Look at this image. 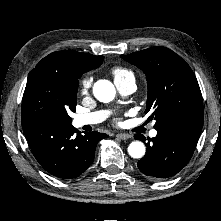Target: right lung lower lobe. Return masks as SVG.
Wrapping results in <instances>:
<instances>
[{
	"mask_svg": "<svg viewBox=\"0 0 221 221\" xmlns=\"http://www.w3.org/2000/svg\"><path fill=\"white\" fill-rule=\"evenodd\" d=\"M22 128L40 165L50 174L72 179L81 175L93 162L97 143L104 133L81 135L72 125L47 120H25Z\"/></svg>",
	"mask_w": 221,
	"mask_h": 221,
	"instance_id": "1",
	"label": "right lung lower lobe"
}]
</instances>
